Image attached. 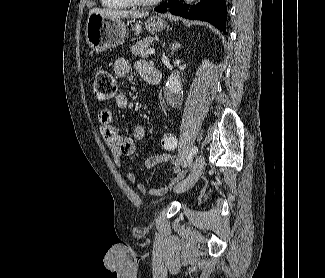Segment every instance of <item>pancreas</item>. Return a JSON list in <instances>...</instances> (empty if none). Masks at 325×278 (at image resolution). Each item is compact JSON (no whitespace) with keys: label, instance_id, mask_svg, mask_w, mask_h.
<instances>
[{"label":"pancreas","instance_id":"1","mask_svg":"<svg viewBox=\"0 0 325 278\" xmlns=\"http://www.w3.org/2000/svg\"><path fill=\"white\" fill-rule=\"evenodd\" d=\"M152 41H153L152 37H146L136 43H133L130 49L135 56H140L142 58H145L148 55L147 51Z\"/></svg>","mask_w":325,"mask_h":278}]
</instances>
